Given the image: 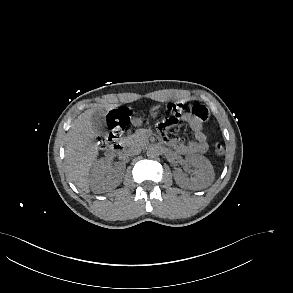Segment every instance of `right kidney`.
I'll list each match as a JSON object with an SVG mask.
<instances>
[{
	"instance_id": "1",
	"label": "right kidney",
	"mask_w": 293,
	"mask_h": 293,
	"mask_svg": "<svg viewBox=\"0 0 293 293\" xmlns=\"http://www.w3.org/2000/svg\"><path fill=\"white\" fill-rule=\"evenodd\" d=\"M125 166L118 163L116 167L108 158H102L94 163L89 175L91 188L95 191L100 190L105 184L117 186L123 177ZM114 172V175L111 174Z\"/></svg>"
}]
</instances>
